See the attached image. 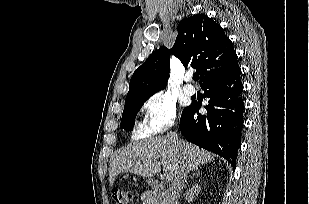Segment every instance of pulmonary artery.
Listing matches in <instances>:
<instances>
[{"mask_svg": "<svg viewBox=\"0 0 309 204\" xmlns=\"http://www.w3.org/2000/svg\"><path fill=\"white\" fill-rule=\"evenodd\" d=\"M183 91H184L185 94L191 96V95L195 94L196 89L193 85L187 83L186 85H184Z\"/></svg>", "mask_w": 309, "mask_h": 204, "instance_id": "obj_1", "label": "pulmonary artery"}]
</instances>
